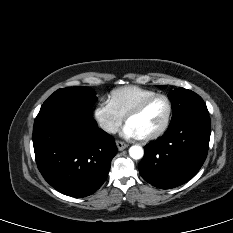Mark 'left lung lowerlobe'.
Returning a JSON list of instances; mask_svg holds the SVG:
<instances>
[{"label": "left lung lower lobe", "mask_w": 233, "mask_h": 233, "mask_svg": "<svg viewBox=\"0 0 233 233\" xmlns=\"http://www.w3.org/2000/svg\"><path fill=\"white\" fill-rule=\"evenodd\" d=\"M210 133L208 114H193L170 123L161 138L145 146L138 165L141 176L161 189L186 183L206 159Z\"/></svg>", "instance_id": "0a47b994"}]
</instances>
